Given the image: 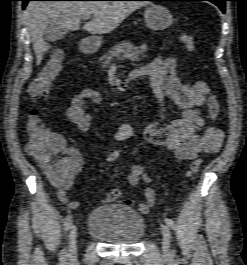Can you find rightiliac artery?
<instances>
[{"mask_svg": "<svg viewBox=\"0 0 247 265\" xmlns=\"http://www.w3.org/2000/svg\"><path fill=\"white\" fill-rule=\"evenodd\" d=\"M71 225H72V216H67L65 223H64L65 230L68 231L71 228ZM67 257H68V254H67L66 250H63L61 252V260L66 261Z\"/></svg>", "mask_w": 247, "mask_h": 265, "instance_id": "1", "label": "right iliac artery"}]
</instances>
